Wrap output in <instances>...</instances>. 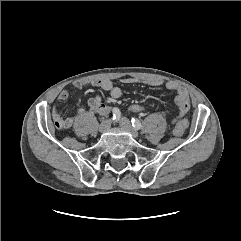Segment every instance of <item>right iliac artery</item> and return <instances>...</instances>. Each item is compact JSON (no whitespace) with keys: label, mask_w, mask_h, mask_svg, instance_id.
I'll use <instances>...</instances> for the list:
<instances>
[{"label":"right iliac artery","mask_w":241,"mask_h":241,"mask_svg":"<svg viewBox=\"0 0 241 241\" xmlns=\"http://www.w3.org/2000/svg\"><path fill=\"white\" fill-rule=\"evenodd\" d=\"M112 113H113L112 120H118L120 118L121 113L118 108H113Z\"/></svg>","instance_id":"obj_1"}]
</instances>
